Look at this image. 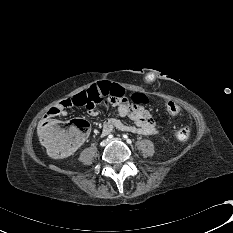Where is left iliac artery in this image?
I'll return each mask as SVG.
<instances>
[{
    "mask_svg": "<svg viewBox=\"0 0 233 233\" xmlns=\"http://www.w3.org/2000/svg\"><path fill=\"white\" fill-rule=\"evenodd\" d=\"M123 137L127 140V143H129V144L132 143L131 139H129L127 135H123Z\"/></svg>",
    "mask_w": 233,
    "mask_h": 233,
    "instance_id": "44dca946",
    "label": "left iliac artery"
}]
</instances>
